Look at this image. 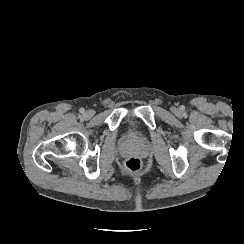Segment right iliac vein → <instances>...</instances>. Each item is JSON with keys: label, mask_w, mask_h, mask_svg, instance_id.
I'll return each instance as SVG.
<instances>
[{"label": "right iliac vein", "mask_w": 244, "mask_h": 244, "mask_svg": "<svg viewBox=\"0 0 244 244\" xmlns=\"http://www.w3.org/2000/svg\"><path fill=\"white\" fill-rule=\"evenodd\" d=\"M92 116V112L91 111H86L85 113H84V117L85 118H90Z\"/></svg>", "instance_id": "63e3f726"}]
</instances>
